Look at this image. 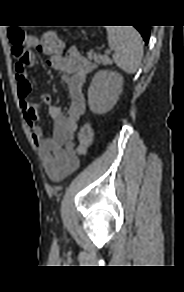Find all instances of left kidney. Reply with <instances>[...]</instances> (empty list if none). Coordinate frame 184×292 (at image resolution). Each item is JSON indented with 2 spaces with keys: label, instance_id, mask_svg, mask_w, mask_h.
<instances>
[{
  "label": "left kidney",
  "instance_id": "5707ae66",
  "mask_svg": "<svg viewBox=\"0 0 184 292\" xmlns=\"http://www.w3.org/2000/svg\"><path fill=\"white\" fill-rule=\"evenodd\" d=\"M123 77L113 71H98L88 89V104L95 114H105L116 104L122 91Z\"/></svg>",
  "mask_w": 184,
  "mask_h": 292
}]
</instances>
